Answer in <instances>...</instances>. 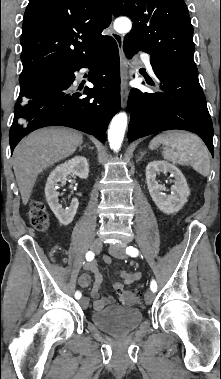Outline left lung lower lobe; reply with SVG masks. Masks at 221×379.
<instances>
[{
    "label": "left lung lower lobe",
    "mask_w": 221,
    "mask_h": 379,
    "mask_svg": "<svg viewBox=\"0 0 221 379\" xmlns=\"http://www.w3.org/2000/svg\"><path fill=\"white\" fill-rule=\"evenodd\" d=\"M123 50L128 58L142 51L130 40H124ZM150 62L160 81V92L131 90L128 140L131 142L165 130H188L199 135L213 155V126L198 73L173 68L152 58Z\"/></svg>",
    "instance_id": "0a47b994"
}]
</instances>
